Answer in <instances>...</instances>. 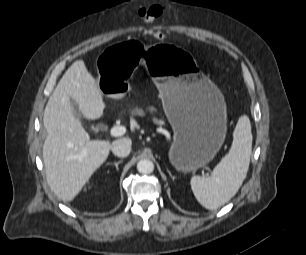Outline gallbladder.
Segmentation results:
<instances>
[{
    "mask_svg": "<svg viewBox=\"0 0 306 255\" xmlns=\"http://www.w3.org/2000/svg\"><path fill=\"white\" fill-rule=\"evenodd\" d=\"M75 115L78 116V117L80 116L79 112H77V111L75 112Z\"/></svg>",
    "mask_w": 306,
    "mask_h": 255,
    "instance_id": "bac80fb5",
    "label": "gallbladder"
}]
</instances>
